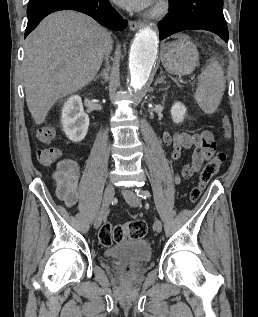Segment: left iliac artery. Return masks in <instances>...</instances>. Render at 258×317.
<instances>
[{
	"mask_svg": "<svg viewBox=\"0 0 258 317\" xmlns=\"http://www.w3.org/2000/svg\"><path fill=\"white\" fill-rule=\"evenodd\" d=\"M135 192L138 197L142 199H150L151 198V193L148 190H141L140 188H136Z\"/></svg>",
	"mask_w": 258,
	"mask_h": 317,
	"instance_id": "1",
	"label": "left iliac artery"
}]
</instances>
